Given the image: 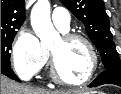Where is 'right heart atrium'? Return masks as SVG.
<instances>
[{
  "label": "right heart atrium",
  "mask_w": 121,
  "mask_h": 94,
  "mask_svg": "<svg viewBox=\"0 0 121 94\" xmlns=\"http://www.w3.org/2000/svg\"><path fill=\"white\" fill-rule=\"evenodd\" d=\"M49 53L31 31H21L12 46L11 61L14 71L22 79L36 76L46 65Z\"/></svg>",
  "instance_id": "d8ad5b80"
}]
</instances>
